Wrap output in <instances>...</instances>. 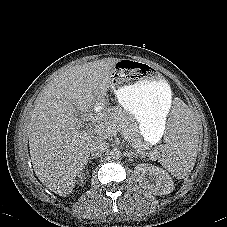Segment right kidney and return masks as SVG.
I'll list each match as a JSON object with an SVG mask.
<instances>
[{
	"mask_svg": "<svg viewBox=\"0 0 227 227\" xmlns=\"http://www.w3.org/2000/svg\"><path fill=\"white\" fill-rule=\"evenodd\" d=\"M87 174V173H86ZM86 177H85V173H81L80 175H79V184L80 185H84V179H85Z\"/></svg>",
	"mask_w": 227,
	"mask_h": 227,
	"instance_id": "ca27d5eb",
	"label": "right kidney"
}]
</instances>
